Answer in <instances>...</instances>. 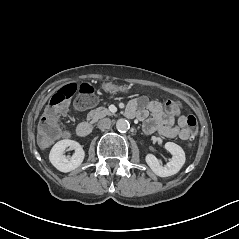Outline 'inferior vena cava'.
<instances>
[{
	"instance_id": "602c4592",
	"label": "inferior vena cava",
	"mask_w": 239,
	"mask_h": 239,
	"mask_svg": "<svg viewBox=\"0 0 239 239\" xmlns=\"http://www.w3.org/2000/svg\"><path fill=\"white\" fill-rule=\"evenodd\" d=\"M97 126L99 129H108L111 126V120L109 118H103L98 121Z\"/></svg>"
}]
</instances>
